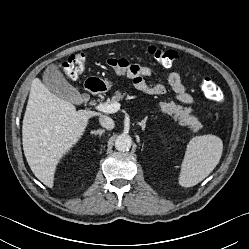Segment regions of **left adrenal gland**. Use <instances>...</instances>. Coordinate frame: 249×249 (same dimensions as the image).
<instances>
[{
    "label": "left adrenal gland",
    "mask_w": 249,
    "mask_h": 249,
    "mask_svg": "<svg viewBox=\"0 0 249 249\" xmlns=\"http://www.w3.org/2000/svg\"><path fill=\"white\" fill-rule=\"evenodd\" d=\"M147 119H148V117L146 116L141 122L138 123L141 126L142 131L145 130Z\"/></svg>",
    "instance_id": "1"
}]
</instances>
